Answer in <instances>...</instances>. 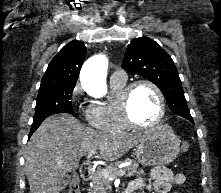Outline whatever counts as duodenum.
<instances>
[{
	"instance_id": "duodenum-1",
	"label": "duodenum",
	"mask_w": 221,
	"mask_h": 193,
	"mask_svg": "<svg viewBox=\"0 0 221 193\" xmlns=\"http://www.w3.org/2000/svg\"><path fill=\"white\" fill-rule=\"evenodd\" d=\"M80 176L83 180H90L93 176V168L90 163H85L80 168ZM122 193H132L129 189Z\"/></svg>"
}]
</instances>
